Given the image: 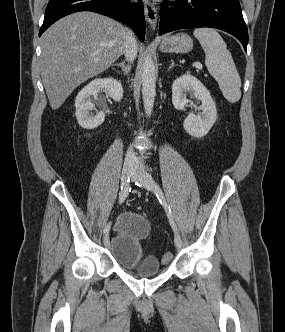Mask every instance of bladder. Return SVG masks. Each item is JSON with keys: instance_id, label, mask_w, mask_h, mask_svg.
Listing matches in <instances>:
<instances>
[{"instance_id": "bladder-1", "label": "bladder", "mask_w": 285, "mask_h": 332, "mask_svg": "<svg viewBox=\"0 0 285 332\" xmlns=\"http://www.w3.org/2000/svg\"><path fill=\"white\" fill-rule=\"evenodd\" d=\"M151 233L148 220L139 213L126 212L120 216L110 249L117 263L124 269L141 277H150L160 272L158 259L145 255L144 240Z\"/></svg>"}]
</instances>
